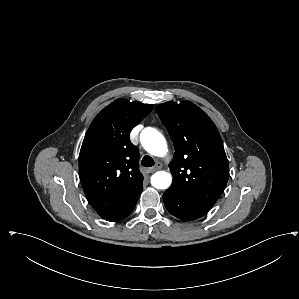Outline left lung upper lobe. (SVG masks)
Masks as SVG:
<instances>
[{
  "instance_id": "1",
  "label": "left lung upper lobe",
  "mask_w": 299,
  "mask_h": 299,
  "mask_svg": "<svg viewBox=\"0 0 299 299\" xmlns=\"http://www.w3.org/2000/svg\"><path fill=\"white\" fill-rule=\"evenodd\" d=\"M156 111L174 143L169 164L173 175L171 189L208 210L221 196L229 166L220 134L198 106L190 101H169Z\"/></svg>"
}]
</instances>
